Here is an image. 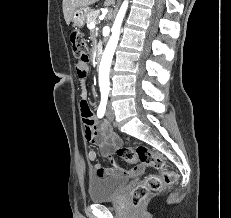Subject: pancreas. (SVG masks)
Masks as SVG:
<instances>
[{"instance_id":"1","label":"pancreas","mask_w":231,"mask_h":218,"mask_svg":"<svg viewBox=\"0 0 231 218\" xmlns=\"http://www.w3.org/2000/svg\"><path fill=\"white\" fill-rule=\"evenodd\" d=\"M99 15V11L98 10H90L87 15H86V23L87 26L89 27L91 22H96V19Z\"/></svg>"}]
</instances>
